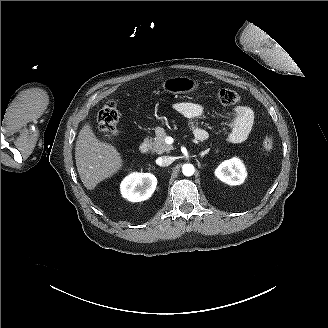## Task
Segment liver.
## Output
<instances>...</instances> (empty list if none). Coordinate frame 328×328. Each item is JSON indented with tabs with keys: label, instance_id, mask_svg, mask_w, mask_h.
<instances>
[{
	"label": "liver",
	"instance_id": "obj_1",
	"mask_svg": "<svg viewBox=\"0 0 328 328\" xmlns=\"http://www.w3.org/2000/svg\"><path fill=\"white\" fill-rule=\"evenodd\" d=\"M75 160L80 179L88 191L95 190L98 184L125 167L121 152L113 143L96 136L91 121H86L78 134Z\"/></svg>",
	"mask_w": 328,
	"mask_h": 328
}]
</instances>
